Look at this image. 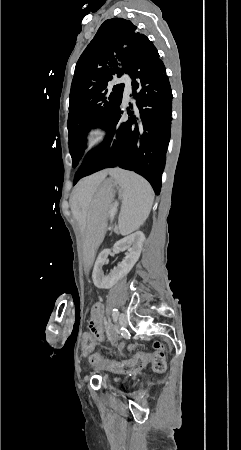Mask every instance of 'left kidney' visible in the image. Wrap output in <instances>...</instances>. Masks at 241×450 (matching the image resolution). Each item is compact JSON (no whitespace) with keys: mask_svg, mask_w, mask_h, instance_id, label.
Segmentation results:
<instances>
[{"mask_svg":"<svg viewBox=\"0 0 241 450\" xmlns=\"http://www.w3.org/2000/svg\"><path fill=\"white\" fill-rule=\"evenodd\" d=\"M143 242H145L143 232H135V234H131V236H127V238H123V240L116 242V244H114L116 252H124V250H127V252L124 260L118 264L117 268L111 270L108 276H104L102 266L107 264V258L110 254V250H103V252H100L95 262L92 274L93 282L96 288L109 290V288H112V286L117 284L118 280H121V278H124L126 274H129L130 270H132L133 266H135L136 262H138L140 258Z\"/></svg>","mask_w":241,"mask_h":450,"instance_id":"obj_1","label":"left kidney"}]
</instances>
